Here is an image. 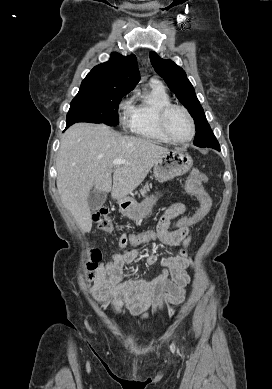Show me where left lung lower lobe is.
Returning <instances> with one entry per match:
<instances>
[{
  "label": "left lung lower lobe",
  "instance_id": "left-lung-lower-lobe-1",
  "mask_svg": "<svg viewBox=\"0 0 272 389\" xmlns=\"http://www.w3.org/2000/svg\"><path fill=\"white\" fill-rule=\"evenodd\" d=\"M210 148H214V149H216V150H220V146H219V143H218V141L217 140H215L214 142H213V144H211L210 146H209Z\"/></svg>",
  "mask_w": 272,
  "mask_h": 389
}]
</instances>
